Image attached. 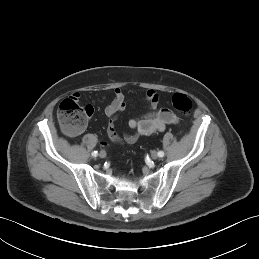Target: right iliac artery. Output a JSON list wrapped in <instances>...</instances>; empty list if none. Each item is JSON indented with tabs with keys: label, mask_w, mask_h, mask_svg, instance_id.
Masks as SVG:
<instances>
[{
	"label": "right iliac artery",
	"mask_w": 259,
	"mask_h": 259,
	"mask_svg": "<svg viewBox=\"0 0 259 259\" xmlns=\"http://www.w3.org/2000/svg\"><path fill=\"white\" fill-rule=\"evenodd\" d=\"M98 155L97 151L92 152V156L96 157Z\"/></svg>",
	"instance_id": "obj_1"
}]
</instances>
